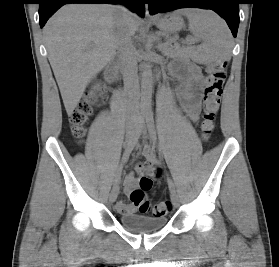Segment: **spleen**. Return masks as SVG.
I'll return each mask as SVG.
<instances>
[{
	"mask_svg": "<svg viewBox=\"0 0 279 267\" xmlns=\"http://www.w3.org/2000/svg\"><path fill=\"white\" fill-rule=\"evenodd\" d=\"M178 14L189 19V29L203 43L188 48V55L199 64H208L214 59L230 60L233 47L232 36L225 21L216 13L204 9H182Z\"/></svg>",
	"mask_w": 279,
	"mask_h": 267,
	"instance_id": "3e777b00",
	"label": "spleen"
}]
</instances>
